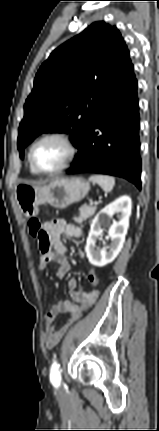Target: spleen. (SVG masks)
<instances>
[{"mask_svg":"<svg viewBox=\"0 0 159 431\" xmlns=\"http://www.w3.org/2000/svg\"><path fill=\"white\" fill-rule=\"evenodd\" d=\"M89 179L97 183L105 192H111L115 185V179L108 175H92Z\"/></svg>","mask_w":159,"mask_h":431,"instance_id":"spleen-1","label":"spleen"}]
</instances>
